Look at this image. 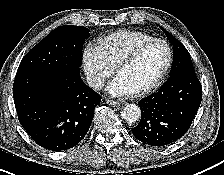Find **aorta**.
<instances>
[{"label":"aorta","mask_w":224,"mask_h":175,"mask_svg":"<svg viewBox=\"0 0 224 175\" xmlns=\"http://www.w3.org/2000/svg\"><path fill=\"white\" fill-rule=\"evenodd\" d=\"M121 116L124 120L134 123L141 117V110L136 104H127L123 107Z\"/></svg>","instance_id":"1"}]
</instances>
